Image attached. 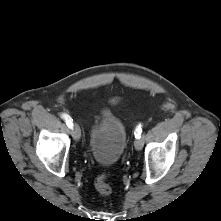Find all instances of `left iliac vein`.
<instances>
[{
  "label": "left iliac vein",
  "mask_w": 221,
  "mask_h": 221,
  "mask_svg": "<svg viewBox=\"0 0 221 221\" xmlns=\"http://www.w3.org/2000/svg\"><path fill=\"white\" fill-rule=\"evenodd\" d=\"M134 146L137 150H141L143 147V140L141 138H137L134 142Z\"/></svg>",
  "instance_id": "4c4485c4"
}]
</instances>
